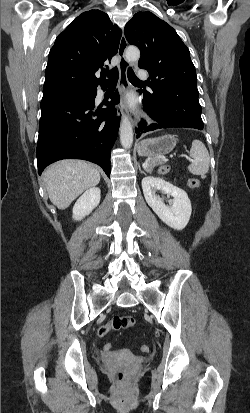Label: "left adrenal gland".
<instances>
[{
  "label": "left adrenal gland",
  "mask_w": 250,
  "mask_h": 413,
  "mask_svg": "<svg viewBox=\"0 0 250 413\" xmlns=\"http://www.w3.org/2000/svg\"><path fill=\"white\" fill-rule=\"evenodd\" d=\"M139 170H140L141 173H144V174H145V172L141 170L140 166H139Z\"/></svg>",
  "instance_id": "a2214340"
}]
</instances>
